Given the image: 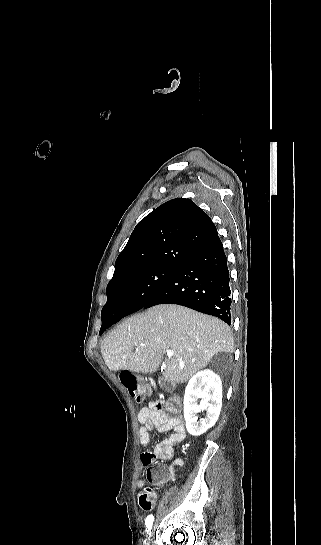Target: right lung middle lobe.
Wrapping results in <instances>:
<instances>
[{"label":"right lung middle lobe","instance_id":"1","mask_svg":"<svg viewBox=\"0 0 321 545\" xmlns=\"http://www.w3.org/2000/svg\"><path fill=\"white\" fill-rule=\"evenodd\" d=\"M181 265L159 264L128 271L107 286V303L121 306L125 316L141 308L171 279ZM103 329L107 321L103 315ZM100 329V330H101Z\"/></svg>","mask_w":321,"mask_h":545}]
</instances>
